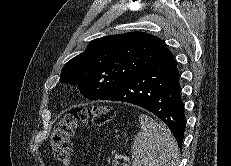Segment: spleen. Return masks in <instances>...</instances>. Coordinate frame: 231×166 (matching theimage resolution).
I'll return each instance as SVG.
<instances>
[{"mask_svg":"<svg viewBox=\"0 0 231 166\" xmlns=\"http://www.w3.org/2000/svg\"><path fill=\"white\" fill-rule=\"evenodd\" d=\"M141 130L132 143V166H179V149L168 127L149 117L139 116Z\"/></svg>","mask_w":231,"mask_h":166,"instance_id":"1","label":"spleen"}]
</instances>
